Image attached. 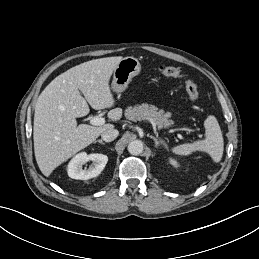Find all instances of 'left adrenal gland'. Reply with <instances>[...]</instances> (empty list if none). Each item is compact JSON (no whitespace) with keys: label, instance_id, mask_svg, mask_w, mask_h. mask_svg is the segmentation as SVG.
Wrapping results in <instances>:
<instances>
[{"label":"left adrenal gland","instance_id":"1","mask_svg":"<svg viewBox=\"0 0 259 259\" xmlns=\"http://www.w3.org/2000/svg\"><path fill=\"white\" fill-rule=\"evenodd\" d=\"M151 139L154 140L155 142V146L158 147L160 144H162V141H159L157 137L152 136V135H148Z\"/></svg>","mask_w":259,"mask_h":259}]
</instances>
